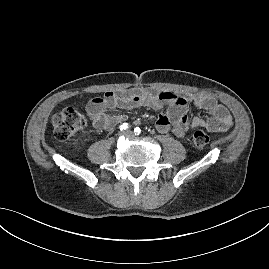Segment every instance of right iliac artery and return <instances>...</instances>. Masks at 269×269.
<instances>
[{"mask_svg":"<svg viewBox=\"0 0 269 269\" xmlns=\"http://www.w3.org/2000/svg\"><path fill=\"white\" fill-rule=\"evenodd\" d=\"M130 126L127 123H123L122 125L119 126L120 130H126L128 129Z\"/></svg>","mask_w":269,"mask_h":269,"instance_id":"right-iliac-artery-1","label":"right iliac artery"}]
</instances>
